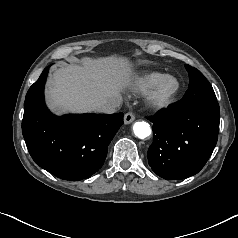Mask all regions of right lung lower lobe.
<instances>
[{
  "mask_svg": "<svg viewBox=\"0 0 238 238\" xmlns=\"http://www.w3.org/2000/svg\"><path fill=\"white\" fill-rule=\"evenodd\" d=\"M49 67L25 97L22 132L28 151L43 169L64 180H81L103 165L108 145L123 124V113L57 117L44 102Z\"/></svg>",
  "mask_w": 238,
  "mask_h": 238,
  "instance_id": "obj_1",
  "label": "right lung lower lobe"
}]
</instances>
